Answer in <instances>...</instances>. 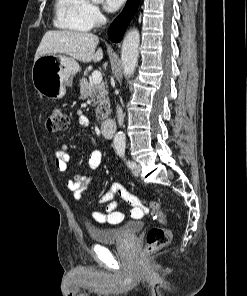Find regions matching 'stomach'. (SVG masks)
Here are the masks:
<instances>
[{
	"label": "stomach",
	"instance_id": "obj_1",
	"mask_svg": "<svg viewBox=\"0 0 247 296\" xmlns=\"http://www.w3.org/2000/svg\"><path fill=\"white\" fill-rule=\"evenodd\" d=\"M80 66L76 60L64 55H43L34 61L32 82L39 94L50 99H60L66 86L72 85L73 76Z\"/></svg>",
	"mask_w": 247,
	"mask_h": 296
}]
</instances>
